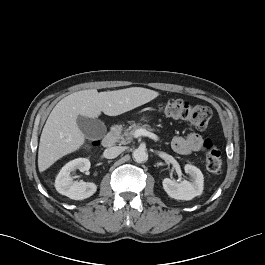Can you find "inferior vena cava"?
<instances>
[{
    "label": "inferior vena cava",
    "instance_id": "1",
    "mask_svg": "<svg viewBox=\"0 0 265 265\" xmlns=\"http://www.w3.org/2000/svg\"><path fill=\"white\" fill-rule=\"evenodd\" d=\"M122 153V148L118 146L110 147L104 150V157L107 159L116 158L119 154Z\"/></svg>",
    "mask_w": 265,
    "mask_h": 265
}]
</instances>
